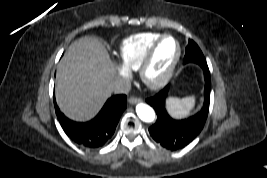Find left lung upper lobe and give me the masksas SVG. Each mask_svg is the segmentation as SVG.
I'll use <instances>...</instances> for the list:
<instances>
[{
  "label": "left lung upper lobe",
  "instance_id": "5c2ea615",
  "mask_svg": "<svg viewBox=\"0 0 267 178\" xmlns=\"http://www.w3.org/2000/svg\"><path fill=\"white\" fill-rule=\"evenodd\" d=\"M189 62L197 63L202 68L208 67L206 60L204 58V55L202 54L200 48L192 40L189 41L186 47V53L184 57V64L189 63Z\"/></svg>",
  "mask_w": 267,
  "mask_h": 178
}]
</instances>
